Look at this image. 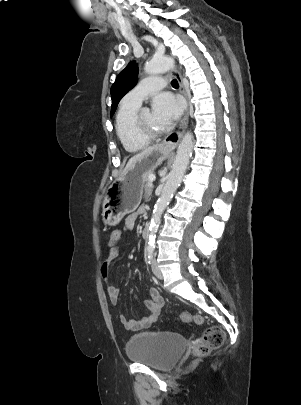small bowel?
<instances>
[{"label":"small bowel","instance_id":"obj_1","mask_svg":"<svg viewBox=\"0 0 301 405\" xmlns=\"http://www.w3.org/2000/svg\"><path fill=\"white\" fill-rule=\"evenodd\" d=\"M144 208H140L136 212L128 214L125 218V227L128 230H132L135 226L136 220L140 214L144 213ZM121 239V232L117 230L109 239V251L107 260L102 266V274L106 278L108 275V269L110 263L115 260L120 253L119 241ZM108 296L113 304H117L120 296V289L117 285L112 283H107L106 286ZM145 307L148 310V315L142 317L141 319H129L125 315L120 316V321L124 327L131 331H138L142 329L149 328L159 317L162 307L163 299L157 289L151 288L149 290V299L144 302Z\"/></svg>","mask_w":301,"mask_h":405}]
</instances>
